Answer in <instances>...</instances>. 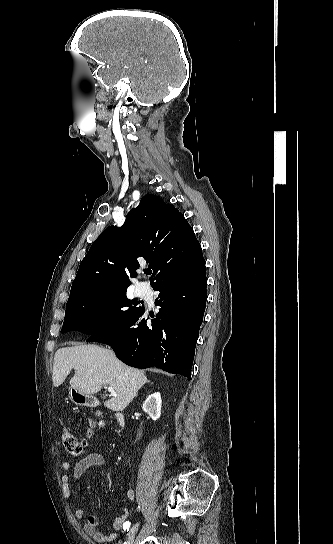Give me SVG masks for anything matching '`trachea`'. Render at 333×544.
I'll return each mask as SVG.
<instances>
[{"instance_id": "trachea-1", "label": "trachea", "mask_w": 333, "mask_h": 544, "mask_svg": "<svg viewBox=\"0 0 333 544\" xmlns=\"http://www.w3.org/2000/svg\"><path fill=\"white\" fill-rule=\"evenodd\" d=\"M145 273L148 274V275H150V274H151V271H150V270H146Z\"/></svg>"}]
</instances>
